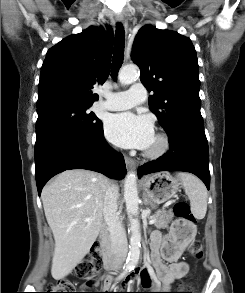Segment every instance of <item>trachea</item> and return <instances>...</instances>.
<instances>
[{
    "label": "trachea",
    "instance_id": "3493384b",
    "mask_svg": "<svg viewBox=\"0 0 245 293\" xmlns=\"http://www.w3.org/2000/svg\"><path fill=\"white\" fill-rule=\"evenodd\" d=\"M124 41H125V32L121 23L116 25L115 33V46L113 53V60L111 66V74L113 78L117 77L118 71L123 64L124 60Z\"/></svg>",
    "mask_w": 245,
    "mask_h": 293
}]
</instances>
